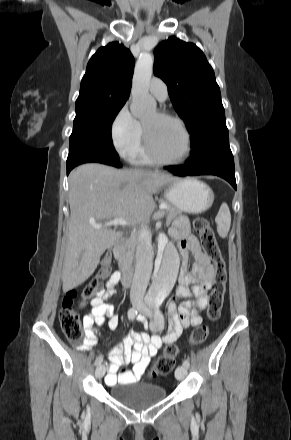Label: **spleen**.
I'll return each mask as SVG.
<instances>
[{
    "instance_id": "spleen-1",
    "label": "spleen",
    "mask_w": 291,
    "mask_h": 440,
    "mask_svg": "<svg viewBox=\"0 0 291 440\" xmlns=\"http://www.w3.org/2000/svg\"><path fill=\"white\" fill-rule=\"evenodd\" d=\"M217 232L221 238L227 237L231 225V214L227 203H222L215 218Z\"/></svg>"
}]
</instances>
